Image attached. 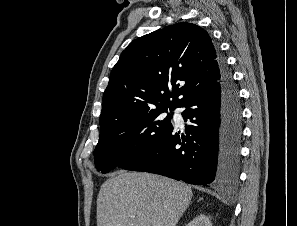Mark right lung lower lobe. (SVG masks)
Wrapping results in <instances>:
<instances>
[{"label": "right lung lower lobe", "mask_w": 297, "mask_h": 226, "mask_svg": "<svg viewBox=\"0 0 297 226\" xmlns=\"http://www.w3.org/2000/svg\"><path fill=\"white\" fill-rule=\"evenodd\" d=\"M209 90L188 97L180 107L189 119L186 136L172 129L148 152L124 169L145 171L194 185H227L238 179L242 139V106L226 62Z\"/></svg>", "instance_id": "1"}]
</instances>
